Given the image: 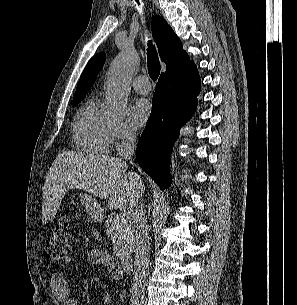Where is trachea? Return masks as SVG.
Wrapping results in <instances>:
<instances>
[{"label":"trachea","mask_w":297,"mask_h":305,"mask_svg":"<svg viewBox=\"0 0 297 305\" xmlns=\"http://www.w3.org/2000/svg\"><path fill=\"white\" fill-rule=\"evenodd\" d=\"M147 63L150 78L154 81L157 80L160 74V63L156 49L151 41L148 42Z\"/></svg>","instance_id":"obj_1"}]
</instances>
